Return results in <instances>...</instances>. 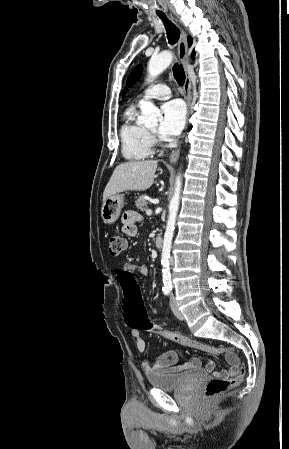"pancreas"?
<instances>
[{"label": "pancreas", "mask_w": 289, "mask_h": 449, "mask_svg": "<svg viewBox=\"0 0 289 449\" xmlns=\"http://www.w3.org/2000/svg\"><path fill=\"white\" fill-rule=\"evenodd\" d=\"M136 207L138 209H140L141 211H146L147 210V196L146 195H141L135 202Z\"/></svg>", "instance_id": "obj_1"}]
</instances>
